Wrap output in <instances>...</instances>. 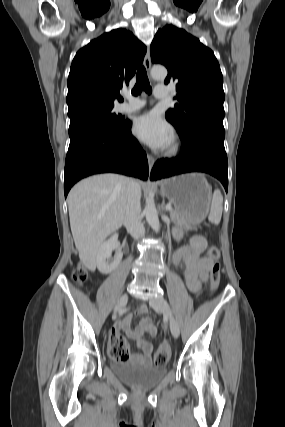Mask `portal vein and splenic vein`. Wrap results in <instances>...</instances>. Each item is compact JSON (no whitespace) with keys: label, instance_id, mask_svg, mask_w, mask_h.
<instances>
[{"label":"portal vein and splenic vein","instance_id":"obj_1","mask_svg":"<svg viewBox=\"0 0 285 427\" xmlns=\"http://www.w3.org/2000/svg\"><path fill=\"white\" fill-rule=\"evenodd\" d=\"M165 208L166 210H169V211L172 210V207L170 205H167Z\"/></svg>","mask_w":285,"mask_h":427}]
</instances>
